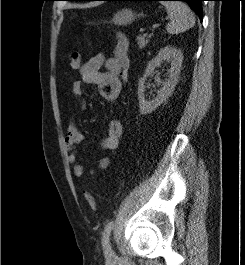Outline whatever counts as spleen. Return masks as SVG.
I'll use <instances>...</instances> for the list:
<instances>
[{
  "mask_svg": "<svg viewBox=\"0 0 245 265\" xmlns=\"http://www.w3.org/2000/svg\"><path fill=\"white\" fill-rule=\"evenodd\" d=\"M170 17L166 30L170 34H178L192 28L195 24V17L191 9L183 2L163 1Z\"/></svg>",
  "mask_w": 245,
  "mask_h": 265,
  "instance_id": "3e777b00",
  "label": "spleen"
}]
</instances>
